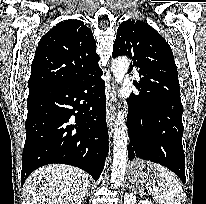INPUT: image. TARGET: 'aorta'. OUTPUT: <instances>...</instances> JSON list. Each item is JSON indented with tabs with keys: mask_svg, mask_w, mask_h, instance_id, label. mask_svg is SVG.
Segmentation results:
<instances>
[{
	"mask_svg": "<svg viewBox=\"0 0 206 204\" xmlns=\"http://www.w3.org/2000/svg\"><path fill=\"white\" fill-rule=\"evenodd\" d=\"M112 72L115 82L122 84L124 77L129 69V60L126 57H118L113 61ZM121 105H119V108ZM126 124L123 112L119 111L113 135V164L111 169V186L118 188L125 175L127 164V137Z\"/></svg>",
	"mask_w": 206,
	"mask_h": 204,
	"instance_id": "aorta-1",
	"label": "aorta"
}]
</instances>
